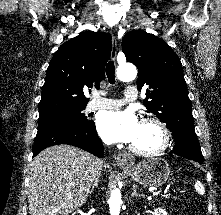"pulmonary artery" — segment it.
Wrapping results in <instances>:
<instances>
[{"label": "pulmonary artery", "instance_id": "1", "mask_svg": "<svg viewBox=\"0 0 221 215\" xmlns=\"http://www.w3.org/2000/svg\"><path fill=\"white\" fill-rule=\"evenodd\" d=\"M137 98V89L134 86H128L124 92V99H111L96 97L89 102V110L112 109L124 105L126 102L134 101Z\"/></svg>", "mask_w": 221, "mask_h": 215}]
</instances>
